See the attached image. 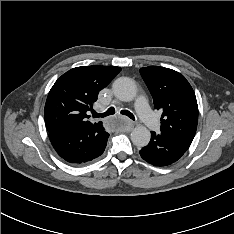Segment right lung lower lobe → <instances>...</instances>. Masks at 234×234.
I'll list each match as a JSON object with an SVG mask.
<instances>
[{
	"label": "right lung lower lobe",
	"instance_id": "1",
	"mask_svg": "<svg viewBox=\"0 0 234 234\" xmlns=\"http://www.w3.org/2000/svg\"><path fill=\"white\" fill-rule=\"evenodd\" d=\"M109 134L102 125H76L49 133L56 152L69 163H85L105 150Z\"/></svg>",
	"mask_w": 234,
	"mask_h": 234
}]
</instances>
